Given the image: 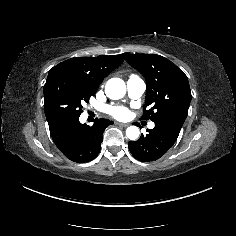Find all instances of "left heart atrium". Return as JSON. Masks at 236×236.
<instances>
[{
	"label": "left heart atrium",
	"instance_id": "1",
	"mask_svg": "<svg viewBox=\"0 0 236 236\" xmlns=\"http://www.w3.org/2000/svg\"><path fill=\"white\" fill-rule=\"evenodd\" d=\"M106 112L114 118H123L128 115V109L120 105H110Z\"/></svg>",
	"mask_w": 236,
	"mask_h": 236
}]
</instances>
